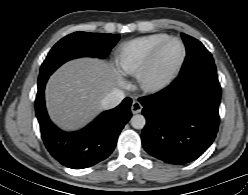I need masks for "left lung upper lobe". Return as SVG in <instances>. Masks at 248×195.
<instances>
[{"label": "left lung upper lobe", "instance_id": "left-lung-upper-lobe-1", "mask_svg": "<svg viewBox=\"0 0 248 195\" xmlns=\"http://www.w3.org/2000/svg\"><path fill=\"white\" fill-rule=\"evenodd\" d=\"M181 36L186 45V58L179 77L187 80L202 75H217L213 57L204 45L184 33Z\"/></svg>", "mask_w": 248, "mask_h": 195}]
</instances>
